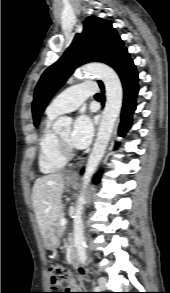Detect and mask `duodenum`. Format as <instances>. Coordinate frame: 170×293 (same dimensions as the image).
Segmentation results:
<instances>
[{
  "instance_id": "duodenum-1",
  "label": "duodenum",
  "mask_w": 170,
  "mask_h": 293,
  "mask_svg": "<svg viewBox=\"0 0 170 293\" xmlns=\"http://www.w3.org/2000/svg\"><path fill=\"white\" fill-rule=\"evenodd\" d=\"M71 262L76 269H81L75 252L71 253Z\"/></svg>"
}]
</instances>
